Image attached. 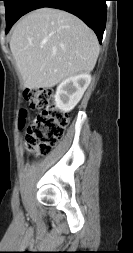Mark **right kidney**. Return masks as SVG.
<instances>
[{"mask_svg":"<svg viewBox=\"0 0 133 253\" xmlns=\"http://www.w3.org/2000/svg\"><path fill=\"white\" fill-rule=\"evenodd\" d=\"M90 82L89 73H82L62 81L54 96L56 107L65 113L70 112L80 101Z\"/></svg>","mask_w":133,"mask_h":253,"instance_id":"ca27d5eb","label":"right kidney"}]
</instances>
